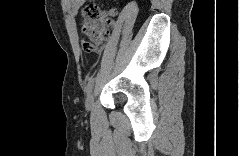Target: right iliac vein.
I'll list each match as a JSON object with an SVG mask.
<instances>
[{
  "mask_svg": "<svg viewBox=\"0 0 239 156\" xmlns=\"http://www.w3.org/2000/svg\"><path fill=\"white\" fill-rule=\"evenodd\" d=\"M93 95H94V91L91 90L90 93L88 94L87 98H86V108L87 110H90L92 107V103H93Z\"/></svg>",
  "mask_w": 239,
  "mask_h": 156,
  "instance_id": "obj_1",
  "label": "right iliac vein"
}]
</instances>
